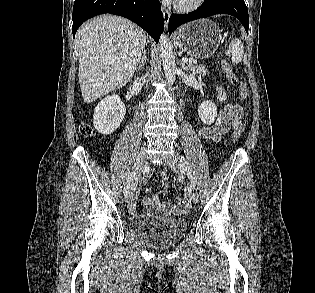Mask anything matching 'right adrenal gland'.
Here are the masks:
<instances>
[{
    "instance_id": "right-adrenal-gland-1",
    "label": "right adrenal gland",
    "mask_w": 315,
    "mask_h": 293,
    "mask_svg": "<svg viewBox=\"0 0 315 293\" xmlns=\"http://www.w3.org/2000/svg\"><path fill=\"white\" fill-rule=\"evenodd\" d=\"M146 51L143 52V56H142V59H141V62L139 63L138 67H137V71H141L142 69H144L143 67L145 66V63H146Z\"/></svg>"
}]
</instances>
